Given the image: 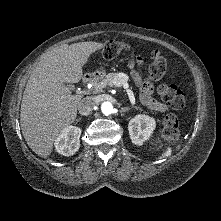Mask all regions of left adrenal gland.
Here are the masks:
<instances>
[{"mask_svg":"<svg viewBox=\"0 0 221 221\" xmlns=\"http://www.w3.org/2000/svg\"><path fill=\"white\" fill-rule=\"evenodd\" d=\"M130 110V108H128V107H124V108H121V112L123 113V112H126V111H129Z\"/></svg>","mask_w":221,"mask_h":221,"instance_id":"left-adrenal-gland-1","label":"left adrenal gland"}]
</instances>
